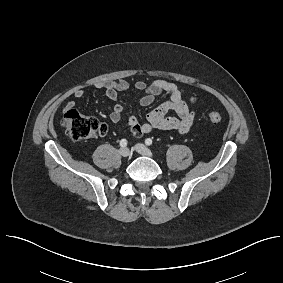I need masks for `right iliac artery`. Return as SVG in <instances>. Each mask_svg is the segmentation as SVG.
I'll return each instance as SVG.
<instances>
[{
	"label": "right iliac artery",
	"mask_w": 283,
	"mask_h": 283,
	"mask_svg": "<svg viewBox=\"0 0 283 283\" xmlns=\"http://www.w3.org/2000/svg\"><path fill=\"white\" fill-rule=\"evenodd\" d=\"M120 146H121V147H126V146H127V140H126V139H122V140L120 141Z\"/></svg>",
	"instance_id": "obj_1"
}]
</instances>
